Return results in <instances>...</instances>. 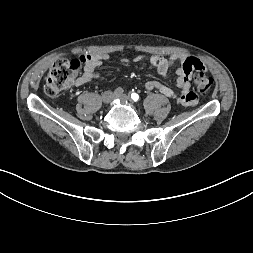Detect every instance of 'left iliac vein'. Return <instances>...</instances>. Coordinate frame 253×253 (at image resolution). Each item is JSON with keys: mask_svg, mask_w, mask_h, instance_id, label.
<instances>
[{"mask_svg": "<svg viewBox=\"0 0 253 253\" xmlns=\"http://www.w3.org/2000/svg\"><path fill=\"white\" fill-rule=\"evenodd\" d=\"M115 98L121 100L124 103H127V102L130 101V98L127 95H125V94L116 95Z\"/></svg>", "mask_w": 253, "mask_h": 253, "instance_id": "4c4485c4", "label": "left iliac vein"}]
</instances>
